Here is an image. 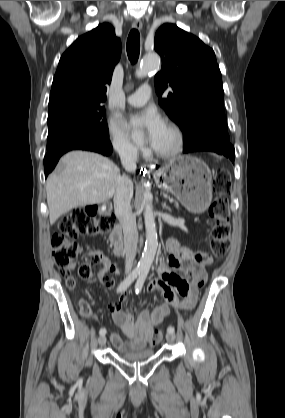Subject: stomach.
<instances>
[{
    "label": "stomach",
    "instance_id": "stomach-1",
    "mask_svg": "<svg viewBox=\"0 0 285 418\" xmlns=\"http://www.w3.org/2000/svg\"><path fill=\"white\" fill-rule=\"evenodd\" d=\"M156 182L192 213H202L211 204V171L199 158L182 155L172 159L156 172Z\"/></svg>",
    "mask_w": 285,
    "mask_h": 418
}]
</instances>
